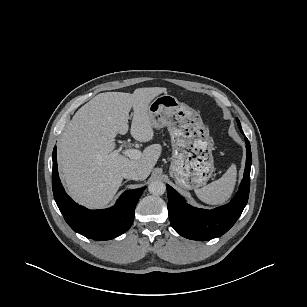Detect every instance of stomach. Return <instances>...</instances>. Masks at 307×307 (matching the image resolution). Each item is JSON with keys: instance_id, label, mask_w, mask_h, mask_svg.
I'll return each instance as SVG.
<instances>
[{"instance_id": "0dacf381", "label": "stomach", "mask_w": 307, "mask_h": 307, "mask_svg": "<svg viewBox=\"0 0 307 307\" xmlns=\"http://www.w3.org/2000/svg\"><path fill=\"white\" fill-rule=\"evenodd\" d=\"M148 115L154 128H168L176 184L186 190L205 185L214 171L213 145L199 113L165 93L149 104Z\"/></svg>"}]
</instances>
